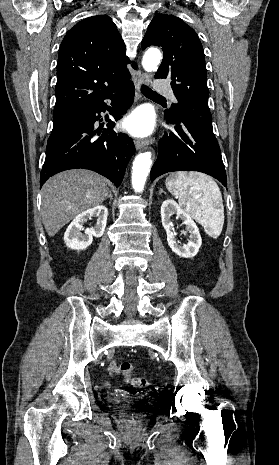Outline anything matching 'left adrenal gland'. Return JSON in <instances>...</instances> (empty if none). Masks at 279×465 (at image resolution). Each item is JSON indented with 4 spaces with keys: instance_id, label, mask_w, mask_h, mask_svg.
<instances>
[{
    "instance_id": "obj_1",
    "label": "left adrenal gland",
    "mask_w": 279,
    "mask_h": 465,
    "mask_svg": "<svg viewBox=\"0 0 279 465\" xmlns=\"http://www.w3.org/2000/svg\"><path fill=\"white\" fill-rule=\"evenodd\" d=\"M162 193H165V191H163V189H160L159 190V195L162 194Z\"/></svg>"
}]
</instances>
